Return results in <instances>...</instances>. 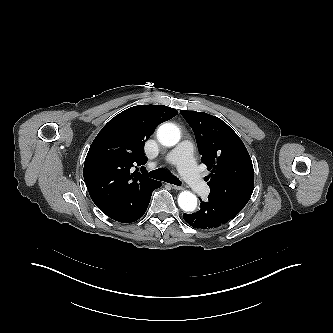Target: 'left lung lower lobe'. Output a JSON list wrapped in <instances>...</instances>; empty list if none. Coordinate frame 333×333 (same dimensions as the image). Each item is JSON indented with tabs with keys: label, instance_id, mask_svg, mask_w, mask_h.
Masks as SVG:
<instances>
[{
	"label": "left lung lower lobe",
	"instance_id": "0a47b994",
	"mask_svg": "<svg viewBox=\"0 0 333 333\" xmlns=\"http://www.w3.org/2000/svg\"><path fill=\"white\" fill-rule=\"evenodd\" d=\"M238 213L215 197L209 195L207 202L201 201L200 210L192 214L184 213L183 218L194 228L210 229L225 224Z\"/></svg>",
	"mask_w": 333,
	"mask_h": 333
}]
</instances>
